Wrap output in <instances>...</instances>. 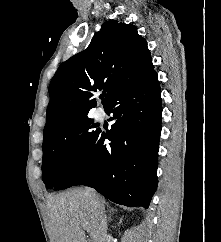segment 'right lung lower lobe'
Returning <instances> with one entry per match:
<instances>
[{
  "mask_svg": "<svg viewBox=\"0 0 221 242\" xmlns=\"http://www.w3.org/2000/svg\"><path fill=\"white\" fill-rule=\"evenodd\" d=\"M105 110L113 113L111 130H99L54 190L83 184L115 203L148 208L158 183L162 107L157 73L120 92Z\"/></svg>",
  "mask_w": 221,
  "mask_h": 242,
  "instance_id": "1",
  "label": "right lung lower lobe"
}]
</instances>
